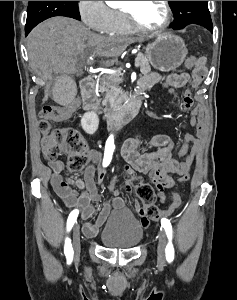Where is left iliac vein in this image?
<instances>
[{
  "mask_svg": "<svg viewBox=\"0 0 237 300\" xmlns=\"http://www.w3.org/2000/svg\"><path fill=\"white\" fill-rule=\"evenodd\" d=\"M159 242L157 247V258L160 266L164 265L165 262V246H166V235L163 231H159Z\"/></svg>",
  "mask_w": 237,
  "mask_h": 300,
  "instance_id": "left-iliac-vein-1",
  "label": "left iliac vein"
}]
</instances>
